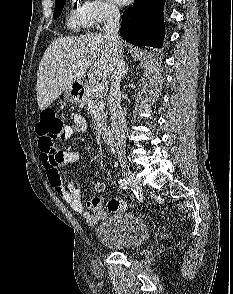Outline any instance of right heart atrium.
I'll return each instance as SVG.
<instances>
[{
  "label": "right heart atrium",
  "mask_w": 233,
  "mask_h": 294,
  "mask_svg": "<svg viewBox=\"0 0 233 294\" xmlns=\"http://www.w3.org/2000/svg\"><path fill=\"white\" fill-rule=\"evenodd\" d=\"M81 10L87 19L88 27L92 29H99L115 21L120 15L112 0H84Z\"/></svg>",
  "instance_id": "1"
}]
</instances>
